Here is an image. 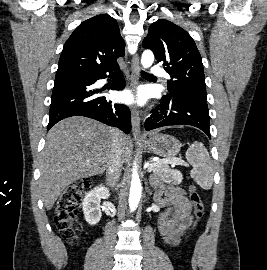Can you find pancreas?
Instances as JSON below:
<instances>
[{
    "label": "pancreas",
    "instance_id": "pancreas-1",
    "mask_svg": "<svg viewBox=\"0 0 267 270\" xmlns=\"http://www.w3.org/2000/svg\"><path fill=\"white\" fill-rule=\"evenodd\" d=\"M152 165L153 176H159L167 183H176L175 172L169 168L168 164L160 160L154 161L152 158L149 160Z\"/></svg>",
    "mask_w": 267,
    "mask_h": 270
}]
</instances>
